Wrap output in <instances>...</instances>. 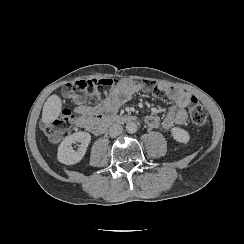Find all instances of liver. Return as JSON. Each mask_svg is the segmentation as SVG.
<instances>
[{
  "mask_svg": "<svg viewBox=\"0 0 244 244\" xmlns=\"http://www.w3.org/2000/svg\"><path fill=\"white\" fill-rule=\"evenodd\" d=\"M63 100L57 93L51 94L44 103L42 110V121L45 124H50L57 120L62 114Z\"/></svg>",
  "mask_w": 244,
  "mask_h": 244,
  "instance_id": "1",
  "label": "liver"
}]
</instances>
